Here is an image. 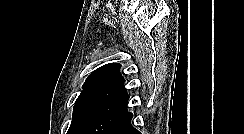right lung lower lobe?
<instances>
[{"mask_svg": "<svg viewBox=\"0 0 244 134\" xmlns=\"http://www.w3.org/2000/svg\"><path fill=\"white\" fill-rule=\"evenodd\" d=\"M132 113L126 112L120 121L107 134H140L131 125Z\"/></svg>", "mask_w": 244, "mask_h": 134, "instance_id": "obj_1", "label": "right lung lower lobe"}]
</instances>
